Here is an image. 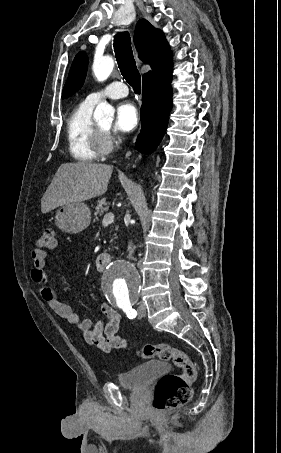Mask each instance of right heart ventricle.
<instances>
[{
    "label": "right heart ventricle",
    "mask_w": 281,
    "mask_h": 453,
    "mask_svg": "<svg viewBox=\"0 0 281 453\" xmlns=\"http://www.w3.org/2000/svg\"><path fill=\"white\" fill-rule=\"evenodd\" d=\"M97 103L86 99L67 118L69 149L76 160L94 161L98 156L95 144L96 124L93 120V111Z\"/></svg>",
    "instance_id": "1"
}]
</instances>
